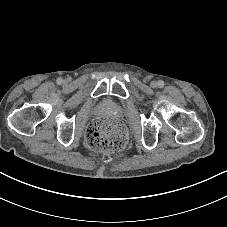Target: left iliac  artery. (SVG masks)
Wrapping results in <instances>:
<instances>
[{
    "label": "left iliac artery",
    "instance_id": "44dca946",
    "mask_svg": "<svg viewBox=\"0 0 227 227\" xmlns=\"http://www.w3.org/2000/svg\"><path fill=\"white\" fill-rule=\"evenodd\" d=\"M163 86H164V81L159 80V81H158V87H159V88H162Z\"/></svg>",
    "mask_w": 227,
    "mask_h": 227
}]
</instances>
